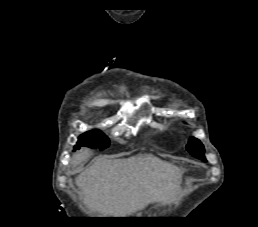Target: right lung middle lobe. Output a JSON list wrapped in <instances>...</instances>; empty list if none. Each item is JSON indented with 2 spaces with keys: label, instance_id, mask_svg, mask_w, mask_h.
<instances>
[{
  "label": "right lung middle lobe",
  "instance_id": "right-lung-middle-lobe-1",
  "mask_svg": "<svg viewBox=\"0 0 258 227\" xmlns=\"http://www.w3.org/2000/svg\"><path fill=\"white\" fill-rule=\"evenodd\" d=\"M80 146L99 147L102 150L109 146V139L101 131L91 130L79 137L75 148L78 149Z\"/></svg>",
  "mask_w": 258,
  "mask_h": 227
}]
</instances>
